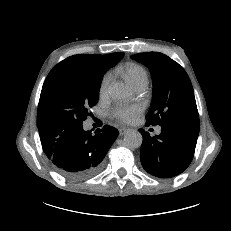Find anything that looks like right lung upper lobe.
Wrapping results in <instances>:
<instances>
[{
	"mask_svg": "<svg viewBox=\"0 0 231 231\" xmlns=\"http://www.w3.org/2000/svg\"><path fill=\"white\" fill-rule=\"evenodd\" d=\"M116 56V53H111L107 55H98V54H78L70 56L63 60L64 62H71L78 65H102L112 61Z\"/></svg>",
	"mask_w": 231,
	"mask_h": 231,
	"instance_id": "1",
	"label": "right lung upper lobe"
}]
</instances>
